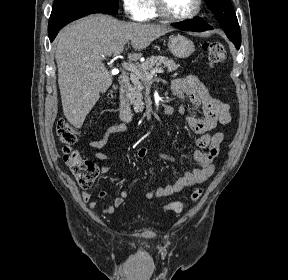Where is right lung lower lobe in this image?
<instances>
[{
    "instance_id": "98d812e1",
    "label": "right lung lower lobe",
    "mask_w": 288,
    "mask_h": 280,
    "mask_svg": "<svg viewBox=\"0 0 288 280\" xmlns=\"http://www.w3.org/2000/svg\"><path fill=\"white\" fill-rule=\"evenodd\" d=\"M93 13L115 14L101 5L89 2L73 4L52 12L48 24L50 41L54 40L59 30L66 24Z\"/></svg>"
}]
</instances>
